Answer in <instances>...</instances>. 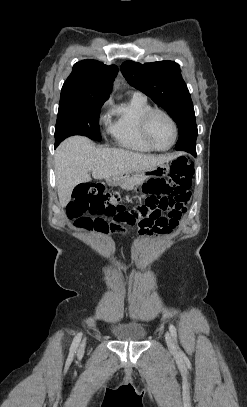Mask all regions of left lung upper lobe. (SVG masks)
Listing matches in <instances>:
<instances>
[{
  "label": "left lung upper lobe",
  "mask_w": 247,
  "mask_h": 407,
  "mask_svg": "<svg viewBox=\"0 0 247 407\" xmlns=\"http://www.w3.org/2000/svg\"><path fill=\"white\" fill-rule=\"evenodd\" d=\"M128 83L149 96L176 122L179 139L175 149L196 154L197 125L188 88L179 65L173 61L140 63L131 60L121 65Z\"/></svg>",
  "instance_id": "5c2ea615"
}]
</instances>
